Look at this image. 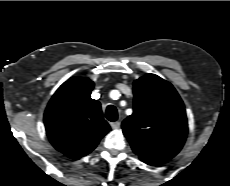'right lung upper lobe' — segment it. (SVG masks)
Masks as SVG:
<instances>
[{
    "label": "right lung upper lobe",
    "mask_w": 230,
    "mask_h": 186,
    "mask_svg": "<svg viewBox=\"0 0 230 186\" xmlns=\"http://www.w3.org/2000/svg\"><path fill=\"white\" fill-rule=\"evenodd\" d=\"M93 86L87 78H70L52 96L44 113L50 142L73 159L90 153L110 131L100 103L90 97Z\"/></svg>",
    "instance_id": "obj_1"
}]
</instances>
